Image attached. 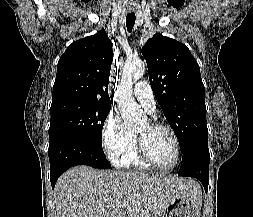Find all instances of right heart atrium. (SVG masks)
I'll use <instances>...</instances> for the list:
<instances>
[{
    "instance_id": "right-heart-atrium-1",
    "label": "right heart atrium",
    "mask_w": 253,
    "mask_h": 217,
    "mask_svg": "<svg viewBox=\"0 0 253 217\" xmlns=\"http://www.w3.org/2000/svg\"><path fill=\"white\" fill-rule=\"evenodd\" d=\"M101 136L105 152L114 163H117L119 157L134 139V134L127 129L115 110L108 113L103 123Z\"/></svg>"
}]
</instances>
